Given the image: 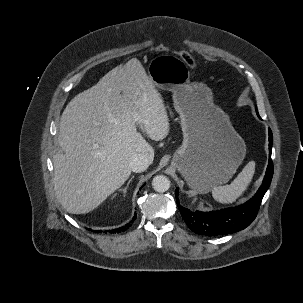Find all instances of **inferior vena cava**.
<instances>
[{"mask_svg": "<svg viewBox=\"0 0 303 303\" xmlns=\"http://www.w3.org/2000/svg\"><path fill=\"white\" fill-rule=\"evenodd\" d=\"M151 164V161L142 154L134 155L129 162L131 171L138 173L146 170Z\"/></svg>", "mask_w": 303, "mask_h": 303, "instance_id": "1", "label": "inferior vena cava"}]
</instances>
